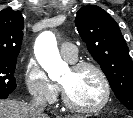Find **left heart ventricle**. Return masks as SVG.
Returning a JSON list of instances; mask_svg holds the SVG:
<instances>
[{
    "instance_id": "b2bd125f",
    "label": "left heart ventricle",
    "mask_w": 133,
    "mask_h": 118,
    "mask_svg": "<svg viewBox=\"0 0 133 118\" xmlns=\"http://www.w3.org/2000/svg\"><path fill=\"white\" fill-rule=\"evenodd\" d=\"M71 101L89 107L99 103L104 96L100 77L92 69L73 70L71 67L60 79Z\"/></svg>"
}]
</instances>
